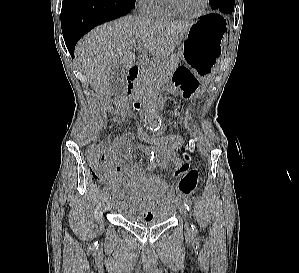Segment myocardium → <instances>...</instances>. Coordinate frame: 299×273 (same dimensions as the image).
I'll return each instance as SVG.
<instances>
[{
    "label": "myocardium",
    "instance_id": "f54148a6",
    "mask_svg": "<svg viewBox=\"0 0 299 273\" xmlns=\"http://www.w3.org/2000/svg\"><path fill=\"white\" fill-rule=\"evenodd\" d=\"M166 1H167L168 6L171 8L172 11H174L178 15H181V16H184V17H187V18L200 17L205 12V10L207 9L208 3H209V0H203V4H202L201 8L197 12L188 13V12L184 11L183 9H181L178 6L176 0H166Z\"/></svg>",
    "mask_w": 299,
    "mask_h": 273
}]
</instances>
